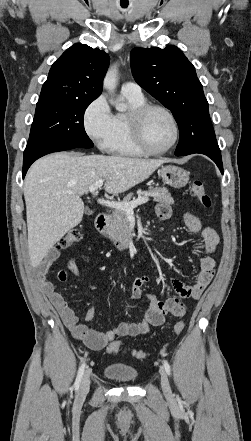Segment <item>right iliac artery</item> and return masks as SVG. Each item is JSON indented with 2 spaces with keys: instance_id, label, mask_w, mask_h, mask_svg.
<instances>
[{
  "instance_id": "82829eb1",
  "label": "right iliac artery",
  "mask_w": 251,
  "mask_h": 441,
  "mask_svg": "<svg viewBox=\"0 0 251 441\" xmlns=\"http://www.w3.org/2000/svg\"><path fill=\"white\" fill-rule=\"evenodd\" d=\"M84 371H85V363H83L80 366V368L78 370V373H77V377H76V380H75V383H74V388H75L76 391H78V389H79L80 382H81V379L83 377Z\"/></svg>"
}]
</instances>
